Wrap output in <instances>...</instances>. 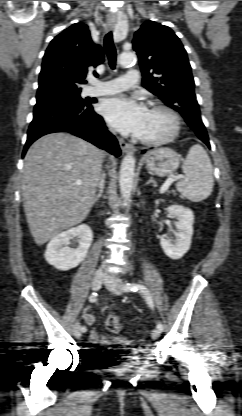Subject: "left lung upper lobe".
Masks as SVG:
<instances>
[{
	"label": "left lung upper lobe",
	"mask_w": 242,
	"mask_h": 416,
	"mask_svg": "<svg viewBox=\"0 0 242 416\" xmlns=\"http://www.w3.org/2000/svg\"><path fill=\"white\" fill-rule=\"evenodd\" d=\"M133 49L139 57L143 87L177 110L199 138L206 137L191 66L175 33L167 26L147 21L135 33Z\"/></svg>",
	"instance_id": "left-lung-upper-lobe-1"
}]
</instances>
